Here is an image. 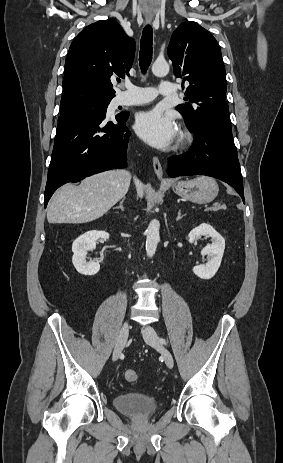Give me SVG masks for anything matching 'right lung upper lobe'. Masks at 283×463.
Instances as JSON below:
<instances>
[{"label": "right lung upper lobe", "instance_id": "1", "mask_svg": "<svg viewBox=\"0 0 283 463\" xmlns=\"http://www.w3.org/2000/svg\"><path fill=\"white\" fill-rule=\"evenodd\" d=\"M135 41L112 20H100L73 40L65 61L60 110L115 96L110 78L129 76Z\"/></svg>", "mask_w": 283, "mask_h": 463}]
</instances>
